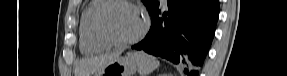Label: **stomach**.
<instances>
[{
  "mask_svg": "<svg viewBox=\"0 0 287 76\" xmlns=\"http://www.w3.org/2000/svg\"><path fill=\"white\" fill-rule=\"evenodd\" d=\"M136 70L137 63L132 57H118L109 61L96 76H133Z\"/></svg>",
  "mask_w": 287,
  "mask_h": 76,
  "instance_id": "stomach-1",
  "label": "stomach"
}]
</instances>
